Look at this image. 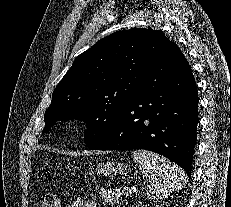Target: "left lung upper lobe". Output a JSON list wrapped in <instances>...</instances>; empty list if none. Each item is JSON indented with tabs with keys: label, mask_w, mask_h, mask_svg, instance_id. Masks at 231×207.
I'll return each instance as SVG.
<instances>
[{
	"label": "left lung upper lobe",
	"mask_w": 231,
	"mask_h": 207,
	"mask_svg": "<svg viewBox=\"0 0 231 207\" xmlns=\"http://www.w3.org/2000/svg\"><path fill=\"white\" fill-rule=\"evenodd\" d=\"M172 45L163 32L142 28L99 40L75 59L53 91L43 133L57 121L76 119L86 123V145L99 143L141 94L146 73Z\"/></svg>",
	"instance_id": "5c2ea615"
}]
</instances>
